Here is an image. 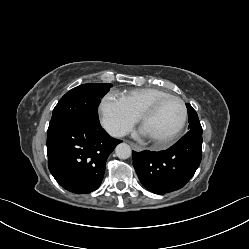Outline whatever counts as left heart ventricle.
I'll return each instance as SVG.
<instances>
[{"label":"left heart ventricle","instance_id":"obj_1","mask_svg":"<svg viewBox=\"0 0 249 249\" xmlns=\"http://www.w3.org/2000/svg\"><path fill=\"white\" fill-rule=\"evenodd\" d=\"M183 108L179 101L170 99L162 103L154 114L142 124V131L150 139H163L180 125Z\"/></svg>","mask_w":249,"mask_h":249}]
</instances>
